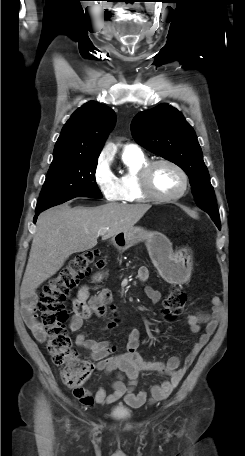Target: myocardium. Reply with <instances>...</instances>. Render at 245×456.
I'll list each match as a JSON object with an SVG mask.
<instances>
[{
	"mask_svg": "<svg viewBox=\"0 0 245 456\" xmlns=\"http://www.w3.org/2000/svg\"><path fill=\"white\" fill-rule=\"evenodd\" d=\"M160 164H165V165H168V166L174 168L181 176L182 188L178 193H176L174 195L164 196V195L158 194L155 191L153 184H152V173H153V170L155 169V167ZM138 182H139V186H140V189H141L143 195L147 199H150L153 201H158V202H171V201L179 200L186 194V192L188 190V186H189V179H188V176H187L186 172L184 171V169L180 165H178L177 163H175L174 161H171L169 159H157V160L148 161L139 170Z\"/></svg>",
	"mask_w": 245,
	"mask_h": 456,
	"instance_id": "1",
	"label": "myocardium"
}]
</instances>
